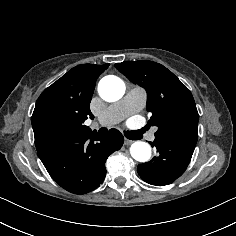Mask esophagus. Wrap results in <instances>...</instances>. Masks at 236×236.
Wrapping results in <instances>:
<instances>
[{
    "label": "esophagus",
    "instance_id": "1",
    "mask_svg": "<svg viewBox=\"0 0 236 236\" xmlns=\"http://www.w3.org/2000/svg\"><path fill=\"white\" fill-rule=\"evenodd\" d=\"M133 141L125 138V145H130Z\"/></svg>",
    "mask_w": 236,
    "mask_h": 236
}]
</instances>
